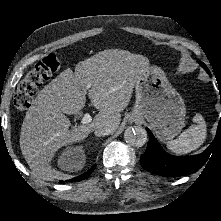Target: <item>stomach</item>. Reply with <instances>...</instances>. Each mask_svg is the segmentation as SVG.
Returning <instances> with one entry per match:
<instances>
[{"label": "stomach", "instance_id": "0dacf381", "mask_svg": "<svg viewBox=\"0 0 221 221\" xmlns=\"http://www.w3.org/2000/svg\"><path fill=\"white\" fill-rule=\"evenodd\" d=\"M132 117H144L162 142L176 137L185 125L186 107L163 70L146 67L135 83Z\"/></svg>", "mask_w": 221, "mask_h": 221}]
</instances>
